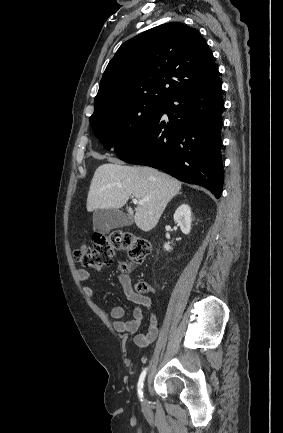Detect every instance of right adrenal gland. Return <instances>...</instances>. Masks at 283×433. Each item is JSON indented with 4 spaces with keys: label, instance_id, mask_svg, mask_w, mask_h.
I'll use <instances>...</instances> for the list:
<instances>
[{
    "label": "right adrenal gland",
    "instance_id": "2a0ac1e0",
    "mask_svg": "<svg viewBox=\"0 0 283 433\" xmlns=\"http://www.w3.org/2000/svg\"><path fill=\"white\" fill-rule=\"evenodd\" d=\"M177 194H181V192H177Z\"/></svg>",
    "mask_w": 283,
    "mask_h": 433
}]
</instances>
